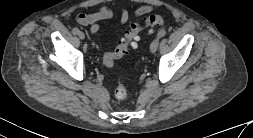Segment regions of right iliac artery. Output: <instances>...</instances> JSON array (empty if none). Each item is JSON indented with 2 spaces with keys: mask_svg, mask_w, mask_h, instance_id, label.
Masks as SVG:
<instances>
[{
  "mask_svg": "<svg viewBox=\"0 0 253 138\" xmlns=\"http://www.w3.org/2000/svg\"><path fill=\"white\" fill-rule=\"evenodd\" d=\"M71 31L73 32V34L74 35H76V34H78V28L76 27V26H73L72 28H71Z\"/></svg>",
  "mask_w": 253,
  "mask_h": 138,
  "instance_id": "82829eb1",
  "label": "right iliac artery"
}]
</instances>
